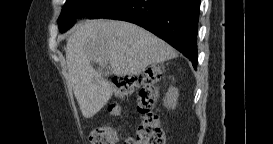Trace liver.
I'll return each mask as SVG.
<instances>
[{"instance_id": "6515ba94", "label": "liver", "mask_w": 273, "mask_h": 144, "mask_svg": "<svg viewBox=\"0 0 273 144\" xmlns=\"http://www.w3.org/2000/svg\"><path fill=\"white\" fill-rule=\"evenodd\" d=\"M175 56L169 44L135 24L102 19L80 22L67 39L66 62L82 115L93 117L112 96L110 83L92 61L102 67L109 64L117 76H133Z\"/></svg>"}]
</instances>
